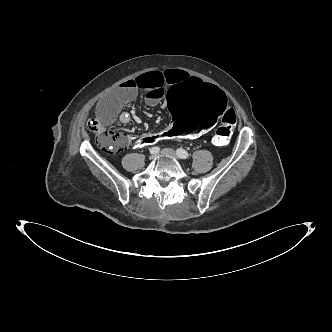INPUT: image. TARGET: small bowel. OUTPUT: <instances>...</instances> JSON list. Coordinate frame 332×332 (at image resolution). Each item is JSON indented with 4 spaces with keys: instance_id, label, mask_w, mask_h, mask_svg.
I'll return each instance as SVG.
<instances>
[{
    "instance_id": "c3829d8e",
    "label": "small bowel",
    "mask_w": 332,
    "mask_h": 332,
    "mask_svg": "<svg viewBox=\"0 0 332 332\" xmlns=\"http://www.w3.org/2000/svg\"><path fill=\"white\" fill-rule=\"evenodd\" d=\"M191 78L195 77L180 69L153 70L142 73L123 82L102 97L96 106L95 116L100 123H111L117 118L122 107L136 98L139 91L146 92L145 102L148 106H155L162 100L167 88ZM119 120L122 123L130 122V118L125 114H121Z\"/></svg>"
}]
</instances>
